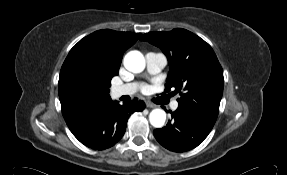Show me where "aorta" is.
Masks as SVG:
<instances>
[{
  "label": "aorta",
  "mask_w": 287,
  "mask_h": 175,
  "mask_svg": "<svg viewBox=\"0 0 287 175\" xmlns=\"http://www.w3.org/2000/svg\"><path fill=\"white\" fill-rule=\"evenodd\" d=\"M125 68L133 73H140L145 68V58L143 54L137 50L128 52L124 57ZM149 121L155 128H161L166 121V113L163 109H153L149 114Z\"/></svg>",
  "instance_id": "1"
}]
</instances>
